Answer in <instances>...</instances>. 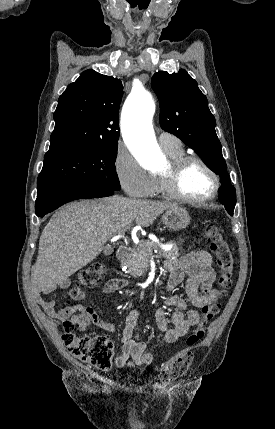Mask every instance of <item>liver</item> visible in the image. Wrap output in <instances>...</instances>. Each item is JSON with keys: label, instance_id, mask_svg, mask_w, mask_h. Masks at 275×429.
<instances>
[{"label": "liver", "instance_id": "liver-1", "mask_svg": "<svg viewBox=\"0 0 275 429\" xmlns=\"http://www.w3.org/2000/svg\"><path fill=\"white\" fill-rule=\"evenodd\" d=\"M177 204L112 196L83 200L61 207L45 226L39 240L32 286L53 291L93 261L106 242L132 227H148ZM125 230V231H124Z\"/></svg>", "mask_w": 275, "mask_h": 429}]
</instances>
